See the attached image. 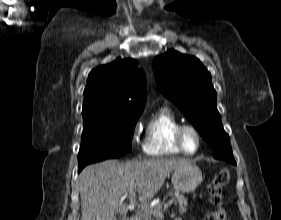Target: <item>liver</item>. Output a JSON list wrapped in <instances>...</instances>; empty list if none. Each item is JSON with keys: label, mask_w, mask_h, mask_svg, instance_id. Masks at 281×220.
<instances>
[{"label": "liver", "mask_w": 281, "mask_h": 220, "mask_svg": "<svg viewBox=\"0 0 281 220\" xmlns=\"http://www.w3.org/2000/svg\"><path fill=\"white\" fill-rule=\"evenodd\" d=\"M192 160L156 158L119 163L111 159L85 167L79 175L81 220H118L128 208L124 197L138 193L141 203L150 201L175 169Z\"/></svg>", "instance_id": "obj_1"}]
</instances>
